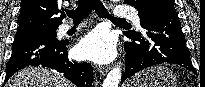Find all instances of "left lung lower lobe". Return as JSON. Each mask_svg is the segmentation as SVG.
Instances as JSON below:
<instances>
[{
  "label": "left lung lower lobe",
  "mask_w": 205,
  "mask_h": 87,
  "mask_svg": "<svg viewBox=\"0 0 205 87\" xmlns=\"http://www.w3.org/2000/svg\"><path fill=\"white\" fill-rule=\"evenodd\" d=\"M139 16L145 31L127 36L132 41L125 43L126 69L121 83L138 71L161 63L178 64L195 72L175 8L159 7Z\"/></svg>",
  "instance_id": "left-lung-lower-lobe-1"
}]
</instances>
